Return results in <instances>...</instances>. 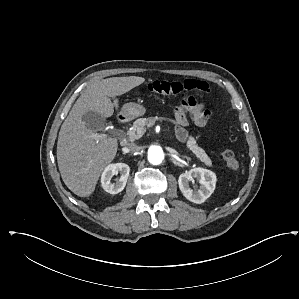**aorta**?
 I'll use <instances>...</instances> for the list:
<instances>
[{
  "label": "aorta",
  "instance_id": "762f6f07",
  "mask_svg": "<svg viewBox=\"0 0 299 299\" xmlns=\"http://www.w3.org/2000/svg\"><path fill=\"white\" fill-rule=\"evenodd\" d=\"M148 161L153 165H159L164 159V150L159 145H151L147 151Z\"/></svg>",
  "mask_w": 299,
  "mask_h": 299
}]
</instances>
